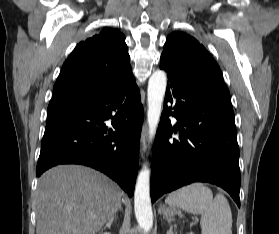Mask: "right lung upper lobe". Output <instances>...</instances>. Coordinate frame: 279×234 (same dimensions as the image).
Here are the masks:
<instances>
[{"mask_svg": "<svg viewBox=\"0 0 279 234\" xmlns=\"http://www.w3.org/2000/svg\"><path fill=\"white\" fill-rule=\"evenodd\" d=\"M132 76L124 34L106 27L80 42L64 62L48 108L88 100Z\"/></svg>", "mask_w": 279, "mask_h": 234, "instance_id": "right-lung-upper-lobe-1", "label": "right lung upper lobe"}]
</instances>
